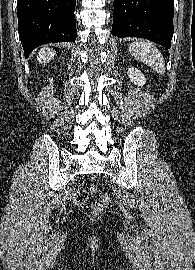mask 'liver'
Masks as SVG:
<instances>
[{"instance_id": "6515ba94", "label": "liver", "mask_w": 195, "mask_h": 270, "mask_svg": "<svg viewBox=\"0 0 195 270\" xmlns=\"http://www.w3.org/2000/svg\"><path fill=\"white\" fill-rule=\"evenodd\" d=\"M55 54H56L55 51H53L52 49H50L48 47H43L39 51L38 61L40 63H47L48 61H50L54 58Z\"/></svg>"}]
</instances>
